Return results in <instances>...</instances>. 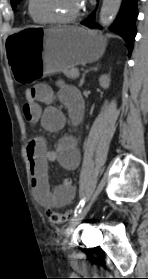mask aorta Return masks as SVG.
<instances>
[{"mask_svg": "<svg viewBox=\"0 0 148 279\" xmlns=\"http://www.w3.org/2000/svg\"><path fill=\"white\" fill-rule=\"evenodd\" d=\"M121 2L122 0H103L99 15V23L101 26L106 27L113 22L119 11Z\"/></svg>", "mask_w": 148, "mask_h": 279, "instance_id": "obj_1", "label": "aorta"}]
</instances>
